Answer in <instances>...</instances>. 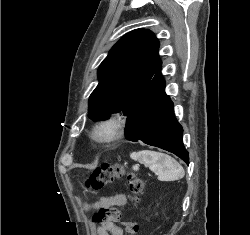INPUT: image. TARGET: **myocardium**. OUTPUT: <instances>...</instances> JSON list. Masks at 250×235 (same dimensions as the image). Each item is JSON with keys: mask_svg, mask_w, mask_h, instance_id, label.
<instances>
[{"mask_svg": "<svg viewBox=\"0 0 250 235\" xmlns=\"http://www.w3.org/2000/svg\"><path fill=\"white\" fill-rule=\"evenodd\" d=\"M125 130V119L121 114H111L98 119L92 127L90 136L97 144H110L119 140Z\"/></svg>", "mask_w": 250, "mask_h": 235, "instance_id": "1", "label": "myocardium"}]
</instances>
